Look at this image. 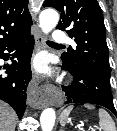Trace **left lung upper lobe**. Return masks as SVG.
Returning <instances> with one entry per match:
<instances>
[{
  "mask_svg": "<svg viewBox=\"0 0 117 131\" xmlns=\"http://www.w3.org/2000/svg\"><path fill=\"white\" fill-rule=\"evenodd\" d=\"M43 7L56 8L61 13L57 29L66 30L76 48L62 54L63 62L110 86L111 67L106 43V29L97 0H46Z\"/></svg>",
  "mask_w": 117,
  "mask_h": 131,
  "instance_id": "1",
  "label": "left lung upper lobe"
}]
</instances>
